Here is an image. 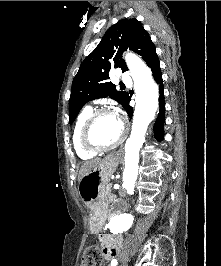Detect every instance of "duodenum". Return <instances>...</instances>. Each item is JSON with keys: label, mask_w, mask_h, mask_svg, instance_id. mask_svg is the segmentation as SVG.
<instances>
[{"label": "duodenum", "mask_w": 221, "mask_h": 266, "mask_svg": "<svg viewBox=\"0 0 221 266\" xmlns=\"http://www.w3.org/2000/svg\"><path fill=\"white\" fill-rule=\"evenodd\" d=\"M113 209H115V210H121L122 207L119 204L116 203V204L113 205Z\"/></svg>", "instance_id": "obj_1"}]
</instances>
